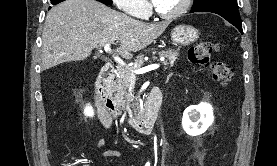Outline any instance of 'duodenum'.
Instances as JSON below:
<instances>
[{
  "mask_svg": "<svg viewBox=\"0 0 277 166\" xmlns=\"http://www.w3.org/2000/svg\"><path fill=\"white\" fill-rule=\"evenodd\" d=\"M114 73L115 67L113 63L107 62L97 78L95 101L101 118L111 124H118L121 114L110 92V83ZM160 105L161 96L159 91H151L147 97L143 112L137 116L127 118L126 123L141 133H149L158 117Z\"/></svg>",
  "mask_w": 277,
  "mask_h": 166,
  "instance_id": "duodenum-1",
  "label": "duodenum"
}]
</instances>
